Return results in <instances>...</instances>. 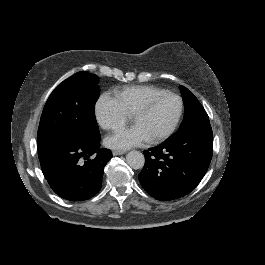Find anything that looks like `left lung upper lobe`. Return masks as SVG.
Listing matches in <instances>:
<instances>
[{
    "label": "left lung upper lobe",
    "mask_w": 265,
    "mask_h": 265,
    "mask_svg": "<svg viewBox=\"0 0 265 265\" xmlns=\"http://www.w3.org/2000/svg\"><path fill=\"white\" fill-rule=\"evenodd\" d=\"M180 89L185 112L183 121L173 136L181 135L197 127L210 125L208 115L195 95L184 86H181Z\"/></svg>",
    "instance_id": "left-lung-upper-lobe-1"
}]
</instances>
